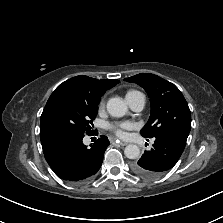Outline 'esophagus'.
Wrapping results in <instances>:
<instances>
[{"mask_svg":"<svg viewBox=\"0 0 223 223\" xmlns=\"http://www.w3.org/2000/svg\"><path fill=\"white\" fill-rule=\"evenodd\" d=\"M111 142H118L122 146H125V145L128 144L127 142L119 140V139H116V138L111 139Z\"/></svg>","mask_w":223,"mask_h":223,"instance_id":"1","label":"esophagus"}]
</instances>
